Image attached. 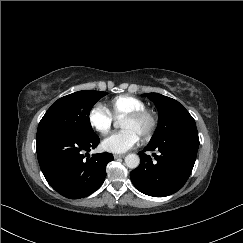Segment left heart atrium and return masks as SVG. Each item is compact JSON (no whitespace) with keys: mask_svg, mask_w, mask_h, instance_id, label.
<instances>
[{"mask_svg":"<svg viewBox=\"0 0 243 243\" xmlns=\"http://www.w3.org/2000/svg\"><path fill=\"white\" fill-rule=\"evenodd\" d=\"M139 137L132 130H122L109 134L104 138L102 147L111 153H124L132 149L138 142Z\"/></svg>","mask_w":243,"mask_h":243,"instance_id":"39dd6f15","label":"left heart atrium"}]
</instances>
